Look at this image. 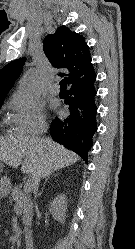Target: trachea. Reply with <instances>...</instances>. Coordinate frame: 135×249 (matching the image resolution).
<instances>
[{
    "mask_svg": "<svg viewBox=\"0 0 135 249\" xmlns=\"http://www.w3.org/2000/svg\"><path fill=\"white\" fill-rule=\"evenodd\" d=\"M59 84H60V88L61 89H66L67 88L66 78H64L63 80H61Z\"/></svg>",
    "mask_w": 135,
    "mask_h": 249,
    "instance_id": "obj_1",
    "label": "trachea"
}]
</instances>
